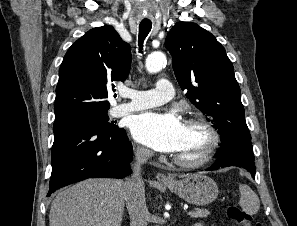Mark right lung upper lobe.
<instances>
[{"mask_svg":"<svg viewBox=\"0 0 297 226\" xmlns=\"http://www.w3.org/2000/svg\"><path fill=\"white\" fill-rule=\"evenodd\" d=\"M131 48L112 26L89 30L74 42L59 69L55 118L83 111L108 110V91L130 71Z\"/></svg>","mask_w":297,"mask_h":226,"instance_id":"1","label":"right lung upper lobe"}]
</instances>
